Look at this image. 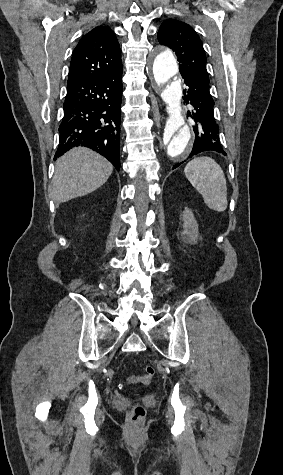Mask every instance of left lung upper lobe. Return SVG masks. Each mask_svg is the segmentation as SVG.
<instances>
[{
    "mask_svg": "<svg viewBox=\"0 0 283 475\" xmlns=\"http://www.w3.org/2000/svg\"><path fill=\"white\" fill-rule=\"evenodd\" d=\"M158 40L175 51L180 72L192 71L208 76L202 42L190 25L168 19L159 28Z\"/></svg>",
    "mask_w": 283,
    "mask_h": 475,
    "instance_id": "1",
    "label": "left lung upper lobe"
}]
</instances>
